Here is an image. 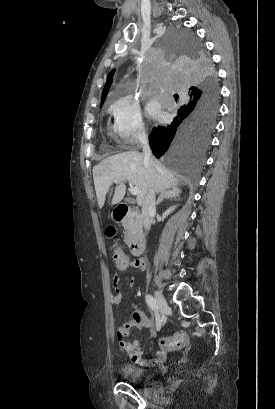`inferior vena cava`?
Returning a JSON list of instances; mask_svg holds the SVG:
<instances>
[{
  "label": "inferior vena cava",
  "instance_id": "602c4592",
  "mask_svg": "<svg viewBox=\"0 0 275 409\" xmlns=\"http://www.w3.org/2000/svg\"><path fill=\"white\" fill-rule=\"evenodd\" d=\"M142 148L144 150V162L147 164L148 168V192L143 200V205H142V219H143V225L144 229L146 231H149L150 229V217L152 213H155L156 207H155V184L153 180L152 174H154V158L152 156L151 148L149 146V140L147 134L145 132H139L138 136Z\"/></svg>",
  "mask_w": 275,
  "mask_h": 409
}]
</instances>
